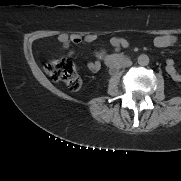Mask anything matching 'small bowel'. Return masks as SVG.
<instances>
[{
	"label": "small bowel",
	"instance_id": "c3829d8e",
	"mask_svg": "<svg viewBox=\"0 0 181 181\" xmlns=\"http://www.w3.org/2000/svg\"><path fill=\"white\" fill-rule=\"evenodd\" d=\"M58 42L68 51L69 56H74V51L72 50L73 45H78L81 42H93L96 40L95 35H87L85 37L78 35V34H59L57 36ZM177 42V37L172 34H163L159 35L154 39V45L158 48H166L169 47ZM111 45L115 49V51H119L121 48L127 47L128 42L127 40L119 37H114L111 39ZM113 56V55H112ZM111 57V56H110ZM88 68L90 71L95 72L98 71L100 68V62L99 61H93L88 63ZM166 71L168 75L177 82H181V73L178 71V69L175 66V63L173 60L169 59L166 62Z\"/></svg>",
	"mask_w": 181,
	"mask_h": 181
}]
</instances>
